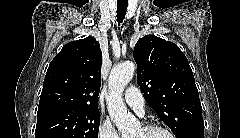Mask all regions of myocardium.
I'll use <instances>...</instances> for the list:
<instances>
[{
    "instance_id": "1",
    "label": "myocardium",
    "mask_w": 240,
    "mask_h": 138,
    "mask_svg": "<svg viewBox=\"0 0 240 138\" xmlns=\"http://www.w3.org/2000/svg\"><path fill=\"white\" fill-rule=\"evenodd\" d=\"M143 129L145 131H148V132H151V131H160V132H163L167 135V138H174L173 137V133L167 129L166 127L164 126H161L159 124H156V123H149V124H146Z\"/></svg>"
}]
</instances>
